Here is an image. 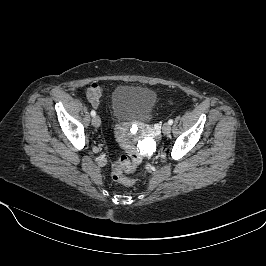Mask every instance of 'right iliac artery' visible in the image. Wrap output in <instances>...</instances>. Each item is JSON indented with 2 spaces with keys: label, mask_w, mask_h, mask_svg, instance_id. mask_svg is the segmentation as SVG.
<instances>
[{
  "label": "right iliac artery",
  "mask_w": 266,
  "mask_h": 266,
  "mask_svg": "<svg viewBox=\"0 0 266 266\" xmlns=\"http://www.w3.org/2000/svg\"><path fill=\"white\" fill-rule=\"evenodd\" d=\"M96 115V112L94 110L91 111V116H95Z\"/></svg>",
  "instance_id": "1"
}]
</instances>
